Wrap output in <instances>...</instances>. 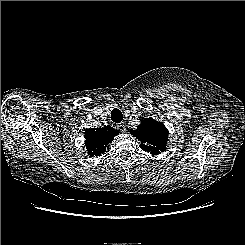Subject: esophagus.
Instances as JSON below:
<instances>
[{"instance_id":"1","label":"esophagus","mask_w":245,"mask_h":245,"mask_svg":"<svg viewBox=\"0 0 245 245\" xmlns=\"http://www.w3.org/2000/svg\"><path fill=\"white\" fill-rule=\"evenodd\" d=\"M118 129L121 130L122 132H125L126 131V126L123 122L119 123L117 125Z\"/></svg>"}]
</instances>
